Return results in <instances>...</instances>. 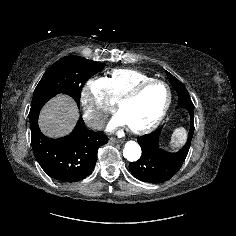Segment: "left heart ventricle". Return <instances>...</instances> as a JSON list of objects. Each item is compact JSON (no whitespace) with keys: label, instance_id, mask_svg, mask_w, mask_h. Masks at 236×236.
Returning <instances> with one entry per match:
<instances>
[{"label":"left heart ventricle","instance_id":"obj_1","mask_svg":"<svg viewBox=\"0 0 236 236\" xmlns=\"http://www.w3.org/2000/svg\"><path fill=\"white\" fill-rule=\"evenodd\" d=\"M167 99L166 87L161 84H153L146 88L138 98L125 104L120 113L128 126L142 127L156 119Z\"/></svg>","mask_w":236,"mask_h":236}]
</instances>
